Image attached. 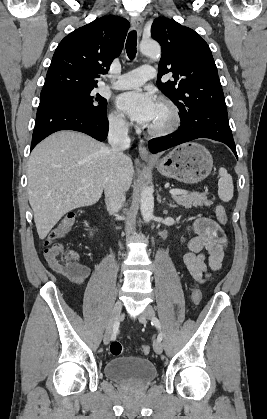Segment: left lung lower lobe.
I'll use <instances>...</instances> for the list:
<instances>
[{"label": "left lung lower lobe", "mask_w": 267, "mask_h": 419, "mask_svg": "<svg viewBox=\"0 0 267 419\" xmlns=\"http://www.w3.org/2000/svg\"><path fill=\"white\" fill-rule=\"evenodd\" d=\"M197 138H209L225 143L237 157L227 109L196 112L181 122L179 130L150 140L148 146L150 152L157 153Z\"/></svg>", "instance_id": "0a47b994"}]
</instances>
